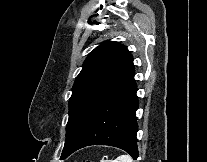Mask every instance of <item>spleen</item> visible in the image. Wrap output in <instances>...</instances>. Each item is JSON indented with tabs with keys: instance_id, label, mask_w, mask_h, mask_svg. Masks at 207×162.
<instances>
[{
	"instance_id": "1",
	"label": "spleen",
	"mask_w": 207,
	"mask_h": 162,
	"mask_svg": "<svg viewBox=\"0 0 207 162\" xmlns=\"http://www.w3.org/2000/svg\"><path fill=\"white\" fill-rule=\"evenodd\" d=\"M100 162H133L130 155H120L115 160H101Z\"/></svg>"
}]
</instances>
